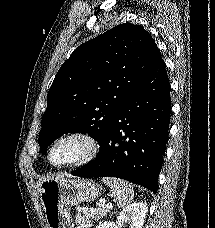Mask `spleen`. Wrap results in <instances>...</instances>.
I'll return each instance as SVG.
<instances>
[{
  "instance_id": "1",
  "label": "spleen",
  "mask_w": 215,
  "mask_h": 228,
  "mask_svg": "<svg viewBox=\"0 0 215 228\" xmlns=\"http://www.w3.org/2000/svg\"><path fill=\"white\" fill-rule=\"evenodd\" d=\"M105 186H109L115 200H117L118 208H125L133 200L134 188L125 182V180H118V178H102Z\"/></svg>"
}]
</instances>
